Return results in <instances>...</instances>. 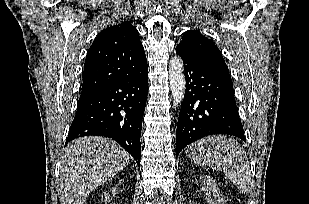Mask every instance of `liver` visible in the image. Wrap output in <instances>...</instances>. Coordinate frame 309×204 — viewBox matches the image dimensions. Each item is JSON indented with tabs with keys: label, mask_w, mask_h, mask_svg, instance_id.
<instances>
[{
	"label": "liver",
	"mask_w": 309,
	"mask_h": 204,
	"mask_svg": "<svg viewBox=\"0 0 309 204\" xmlns=\"http://www.w3.org/2000/svg\"><path fill=\"white\" fill-rule=\"evenodd\" d=\"M129 154L104 137H81L61 155L58 195L61 204H83L97 187L129 163Z\"/></svg>",
	"instance_id": "liver-1"
}]
</instances>
